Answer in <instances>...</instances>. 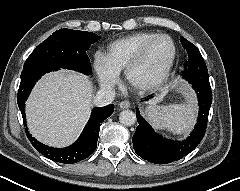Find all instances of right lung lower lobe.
Segmentation results:
<instances>
[{
	"mask_svg": "<svg viewBox=\"0 0 240 191\" xmlns=\"http://www.w3.org/2000/svg\"><path fill=\"white\" fill-rule=\"evenodd\" d=\"M59 69L60 68L48 67L22 72L17 102L24 124L26 123L25 101L27 100L36 81H38L45 73ZM113 111V104L101 108L95 107L79 139L74 144L66 148L58 149L40 143L31 136L26 127V132L28 133L27 137L36 150L48 159L64 164L76 163L84 160L95 151L99 136L100 123L109 117Z\"/></svg>",
	"mask_w": 240,
	"mask_h": 191,
	"instance_id": "98d812e1",
	"label": "right lung lower lobe"
}]
</instances>
